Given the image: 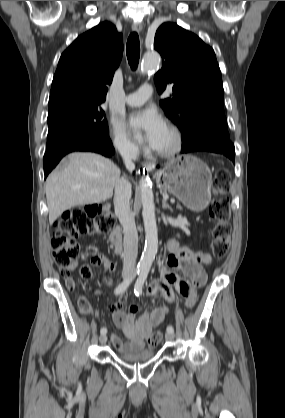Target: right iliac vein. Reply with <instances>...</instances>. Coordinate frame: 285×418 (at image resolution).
I'll list each match as a JSON object with an SVG mask.
<instances>
[{
  "label": "right iliac vein",
  "instance_id": "63e3f726",
  "mask_svg": "<svg viewBox=\"0 0 285 418\" xmlns=\"http://www.w3.org/2000/svg\"><path fill=\"white\" fill-rule=\"evenodd\" d=\"M107 341V335L106 334H101V336L99 337V342L101 344H104Z\"/></svg>",
  "mask_w": 285,
  "mask_h": 418
}]
</instances>
